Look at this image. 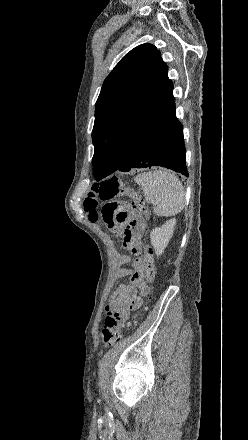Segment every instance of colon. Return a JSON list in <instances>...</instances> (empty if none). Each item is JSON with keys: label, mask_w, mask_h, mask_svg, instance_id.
Wrapping results in <instances>:
<instances>
[{"label": "colon", "mask_w": 248, "mask_h": 440, "mask_svg": "<svg viewBox=\"0 0 248 440\" xmlns=\"http://www.w3.org/2000/svg\"><path fill=\"white\" fill-rule=\"evenodd\" d=\"M120 195L130 197L131 203L127 204L129 210L123 207L124 203L115 200ZM100 203L103 204L99 209ZM83 206L90 220L101 217L110 228L118 226L120 229H126L130 221L144 222L148 217L141 193L122 183L116 176L93 184L83 201ZM142 274L148 283L153 282L155 278L153 250L148 244L143 246ZM134 324V320L122 324L118 312L109 311L101 331L103 343L106 346L115 344L122 337L123 330Z\"/></svg>", "instance_id": "1"}]
</instances>
